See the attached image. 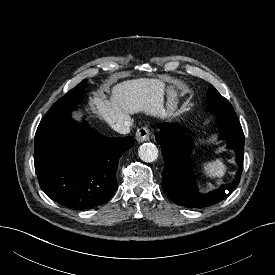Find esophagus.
Instances as JSON below:
<instances>
[{"mask_svg": "<svg viewBox=\"0 0 275 275\" xmlns=\"http://www.w3.org/2000/svg\"><path fill=\"white\" fill-rule=\"evenodd\" d=\"M136 140L140 143L149 140V131L146 127H141L136 131Z\"/></svg>", "mask_w": 275, "mask_h": 275, "instance_id": "1", "label": "esophagus"}]
</instances>
